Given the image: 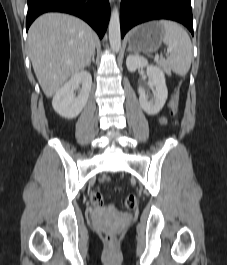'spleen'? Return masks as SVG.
<instances>
[{"label":"spleen","instance_id":"spleen-1","mask_svg":"<svg viewBox=\"0 0 227 265\" xmlns=\"http://www.w3.org/2000/svg\"><path fill=\"white\" fill-rule=\"evenodd\" d=\"M158 24L164 29L163 42L171 52L166 61L167 67L175 74L185 76L190 69L193 55L189 35L174 21L161 20Z\"/></svg>","mask_w":227,"mask_h":265}]
</instances>
